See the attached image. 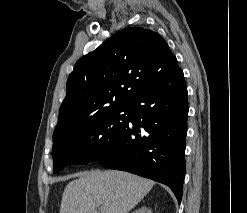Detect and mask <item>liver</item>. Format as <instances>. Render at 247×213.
I'll return each mask as SVG.
<instances>
[{"label":"liver","mask_w":247,"mask_h":213,"mask_svg":"<svg viewBox=\"0 0 247 213\" xmlns=\"http://www.w3.org/2000/svg\"><path fill=\"white\" fill-rule=\"evenodd\" d=\"M65 187L60 213H128L154 181L117 170L76 174Z\"/></svg>","instance_id":"liver-1"}]
</instances>
